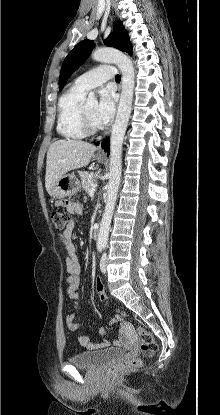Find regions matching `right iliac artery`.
I'll use <instances>...</instances> for the list:
<instances>
[{
  "instance_id": "obj_1",
  "label": "right iliac artery",
  "mask_w": 220,
  "mask_h": 415,
  "mask_svg": "<svg viewBox=\"0 0 220 415\" xmlns=\"http://www.w3.org/2000/svg\"><path fill=\"white\" fill-rule=\"evenodd\" d=\"M104 248V246L103 245H98V250H99V252H102V249Z\"/></svg>"
}]
</instances>
